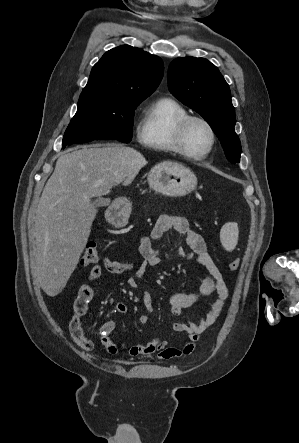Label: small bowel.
Listing matches in <instances>:
<instances>
[{"label": "small bowel", "instance_id": "c3829d8e", "mask_svg": "<svg viewBox=\"0 0 299 443\" xmlns=\"http://www.w3.org/2000/svg\"><path fill=\"white\" fill-rule=\"evenodd\" d=\"M173 230L185 237V246H180L175 250V255L180 258L192 259L201 264L207 276L201 283L197 292L185 293L179 292L170 297L169 305L174 315H180L181 312L194 305L201 297L216 294L214 302L210 308L195 321L189 323L175 322L173 330L176 333H186V338L180 343H169L160 338H153L147 344L129 345L125 343H116L111 335L115 329V323L112 320L104 321L100 328V343L102 348L110 354H125L134 358H150L157 354L160 359H170L190 354L198 341L199 335L209 328L218 318L224 303L228 297L223 276L219 268L214 263L204 238L191 229L187 220L180 216L161 215L153 227L149 236L140 239L139 252L143 262L136 268L127 283L135 288L139 285L141 276L145 271L159 264L162 260V254L155 246V242L161 239L165 232ZM168 256H172L168 254ZM133 264L120 262L105 257L101 264H95L88 275V282L79 287L76 300L74 302V315L69 322V332L74 342L86 352L94 351L97 346L95 342L89 339L84 332L81 319L88 310V305L94 297L92 283L98 280L103 270L112 274H121L133 269ZM143 302L149 312L153 311L152 296L149 291L143 292ZM119 313H126L127 306L124 302H118L115 307ZM140 324L146 326L149 323L148 316H141Z\"/></svg>", "mask_w": 299, "mask_h": 443}]
</instances>
